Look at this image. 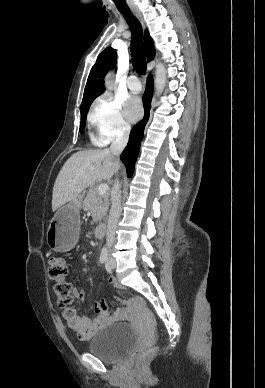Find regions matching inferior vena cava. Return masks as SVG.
<instances>
[{
	"label": "inferior vena cava",
	"mask_w": 265,
	"mask_h": 388,
	"mask_svg": "<svg viewBox=\"0 0 265 388\" xmlns=\"http://www.w3.org/2000/svg\"><path fill=\"white\" fill-rule=\"evenodd\" d=\"M130 126L126 128L125 132L121 134V136H116L114 142H112L110 146V152L112 156H120L121 152H123L125 146H127V142L129 140L130 134ZM116 172H118V168H116ZM120 186L118 180L114 182V188L111 194V210L108 218V226L106 232V246L107 248H112L115 240V232L118 224V220L121 214V196H120Z\"/></svg>",
	"instance_id": "inferior-vena-cava-1"
}]
</instances>
